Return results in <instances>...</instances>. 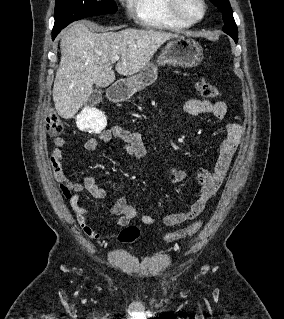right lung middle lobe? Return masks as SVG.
<instances>
[{
    "label": "right lung middle lobe",
    "mask_w": 284,
    "mask_h": 319,
    "mask_svg": "<svg viewBox=\"0 0 284 319\" xmlns=\"http://www.w3.org/2000/svg\"><path fill=\"white\" fill-rule=\"evenodd\" d=\"M117 11L114 0H56L52 32L59 33L73 21Z\"/></svg>",
    "instance_id": "right-lung-middle-lobe-1"
}]
</instances>
